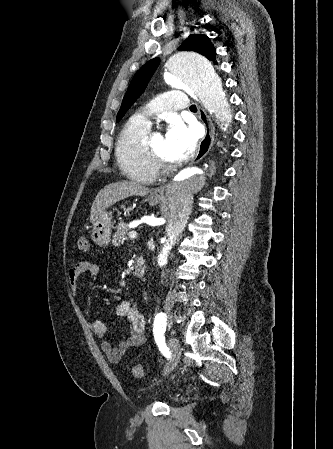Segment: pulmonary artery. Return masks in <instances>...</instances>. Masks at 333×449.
<instances>
[{"instance_id": "e3ab8cb5", "label": "pulmonary artery", "mask_w": 333, "mask_h": 449, "mask_svg": "<svg viewBox=\"0 0 333 449\" xmlns=\"http://www.w3.org/2000/svg\"><path fill=\"white\" fill-rule=\"evenodd\" d=\"M189 108V100L182 90H171L157 97L148 108L138 115L145 124H150V117L161 109L180 110Z\"/></svg>"}]
</instances>
